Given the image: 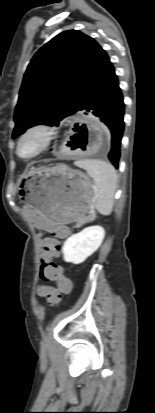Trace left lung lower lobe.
I'll return each instance as SVG.
<instances>
[{
  "label": "left lung lower lobe",
  "mask_w": 155,
  "mask_h": 413,
  "mask_svg": "<svg viewBox=\"0 0 155 413\" xmlns=\"http://www.w3.org/2000/svg\"><path fill=\"white\" fill-rule=\"evenodd\" d=\"M79 111L97 116L109 127L112 139L108 158L115 168H118L121 138L124 131V102L109 57L82 100Z\"/></svg>",
  "instance_id": "obj_1"
}]
</instances>
